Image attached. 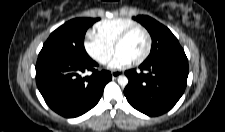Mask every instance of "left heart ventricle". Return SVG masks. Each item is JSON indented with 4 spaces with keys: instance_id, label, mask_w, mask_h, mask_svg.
I'll list each match as a JSON object with an SVG mask.
<instances>
[{
    "instance_id": "obj_1",
    "label": "left heart ventricle",
    "mask_w": 225,
    "mask_h": 132,
    "mask_svg": "<svg viewBox=\"0 0 225 132\" xmlns=\"http://www.w3.org/2000/svg\"><path fill=\"white\" fill-rule=\"evenodd\" d=\"M147 39L142 31L133 32L117 49L131 61L138 59L146 50Z\"/></svg>"
}]
</instances>
